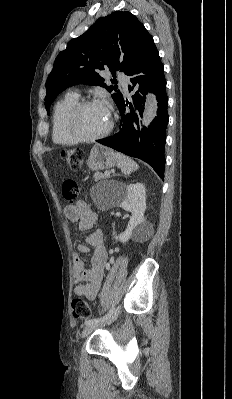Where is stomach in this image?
I'll return each mask as SVG.
<instances>
[{
    "instance_id": "stomach-1",
    "label": "stomach",
    "mask_w": 232,
    "mask_h": 399,
    "mask_svg": "<svg viewBox=\"0 0 232 399\" xmlns=\"http://www.w3.org/2000/svg\"><path fill=\"white\" fill-rule=\"evenodd\" d=\"M116 164V154L105 146H93L87 166L90 170H109Z\"/></svg>"
}]
</instances>
